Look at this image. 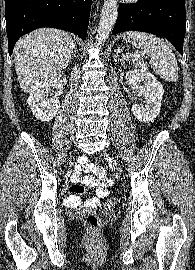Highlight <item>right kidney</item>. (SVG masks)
I'll return each mask as SVG.
<instances>
[{
    "mask_svg": "<svg viewBox=\"0 0 195 270\" xmlns=\"http://www.w3.org/2000/svg\"><path fill=\"white\" fill-rule=\"evenodd\" d=\"M66 83L67 79L65 77L56 75L41 82L30 93L28 105L36 119L40 121H50L56 116L60 108L59 96ZM51 87H55L57 92H55L52 98L48 99V93Z\"/></svg>",
    "mask_w": 195,
    "mask_h": 270,
    "instance_id": "1",
    "label": "right kidney"
}]
</instances>
